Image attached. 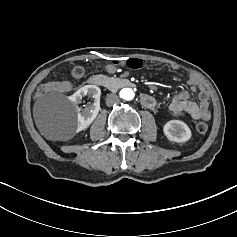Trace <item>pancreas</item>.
I'll use <instances>...</instances> for the list:
<instances>
[{
  "mask_svg": "<svg viewBox=\"0 0 237 237\" xmlns=\"http://www.w3.org/2000/svg\"><path fill=\"white\" fill-rule=\"evenodd\" d=\"M121 80L119 78H110L109 80L106 81V87L107 88H113V89H118L119 88V82Z\"/></svg>",
  "mask_w": 237,
  "mask_h": 237,
  "instance_id": "1",
  "label": "pancreas"
}]
</instances>
